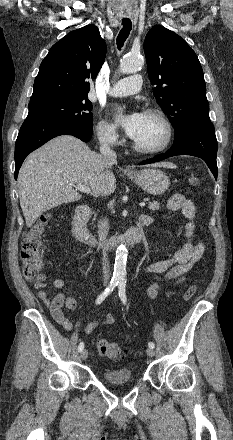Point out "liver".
<instances>
[{
    "label": "liver",
    "mask_w": 233,
    "mask_h": 440,
    "mask_svg": "<svg viewBox=\"0 0 233 440\" xmlns=\"http://www.w3.org/2000/svg\"><path fill=\"white\" fill-rule=\"evenodd\" d=\"M112 165L71 135L58 136L31 153L17 179L26 226L30 228L47 210L81 199L74 184L89 187L94 195L113 193L116 179L110 171Z\"/></svg>",
    "instance_id": "1"
}]
</instances>
